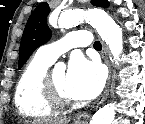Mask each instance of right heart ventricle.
Returning <instances> with one entry per match:
<instances>
[{"label":"right heart ventricle","instance_id":"1","mask_svg":"<svg viewBox=\"0 0 145 124\" xmlns=\"http://www.w3.org/2000/svg\"><path fill=\"white\" fill-rule=\"evenodd\" d=\"M52 62L34 56L25 66L17 81L14 101L20 115L26 118L52 116L55 108L44 98L42 80Z\"/></svg>","mask_w":145,"mask_h":124}]
</instances>
